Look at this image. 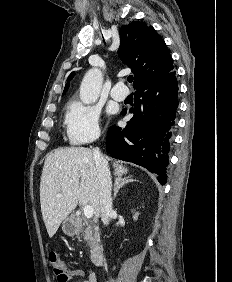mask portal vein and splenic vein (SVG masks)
I'll list each match as a JSON object with an SVG mask.
<instances>
[{"mask_svg": "<svg viewBox=\"0 0 232 282\" xmlns=\"http://www.w3.org/2000/svg\"><path fill=\"white\" fill-rule=\"evenodd\" d=\"M83 213H84V216H85L87 219H90V218L93 217L94 210H93V208H92L90 205H86V206L83 208Z\"/></svg>", "mask_w": 232, "mask_h": 282, "instance_id": "18ae733b", "label": "portal vein and splenic vein"}]
</instances>
